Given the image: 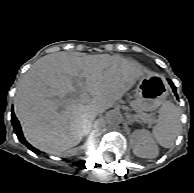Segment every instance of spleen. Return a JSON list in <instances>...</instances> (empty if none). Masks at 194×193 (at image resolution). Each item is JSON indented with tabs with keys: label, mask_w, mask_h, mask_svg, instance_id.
<instances>
[{
	"label": "spleen",
	"mask_w": 194,
	"mask_h": 193,
	"mask_svg": "<svg viewBox=\"0 0 194 193\" xmlns=\"http://www.w3.org/2000/svg\"><path fill=\"white\" fill-rule=\"evenodd\" d=\"M181 130L180 110L170 101H164L159 109L158 123L153 127L157 142L165 148L174 145Z\"/></svg>",
	"instance_id": "1"
}]
</instances>
